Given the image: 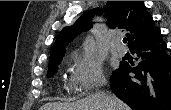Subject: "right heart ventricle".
Listing matches in <instances>:
<instances>
[{"label": "right heart ventricle", "instance_id": "1", "mask_svg": "<svg viewBox=\"0 0 171 110\" xmlns=\"http://www.w3.org/2000/svg\"><path fill=\"white\" fill-rule=\"evenodd\" d=\"M68 88L70 90H76L77 89L76 85L72 82V80H70V82L68 83Z\"/></svg>", "mask_w": 171, "mask_h": 110}]
</instances>
